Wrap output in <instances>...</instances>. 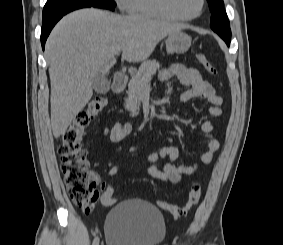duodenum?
<instances>
[{
  "label": "duodenum",
  "instance_id": "obj_1",
  "mask_svg": "<svg viewBox=\"0 0 283 245\" xmlns=\"http://www.w3.org/2000/svg\"><path fill=\"white\" fill-rule=\"evenodd\" d=\"M128 82V77L124 73H116L113 77L112 89L116 93L122 92Z\"/></svg>",
  "mask_w": 283,
  "mask_h": 245
}]
</instances>
